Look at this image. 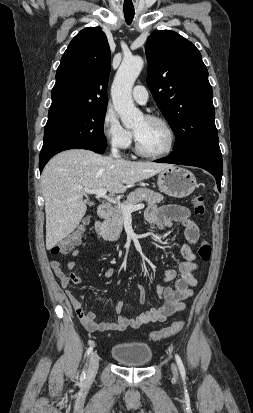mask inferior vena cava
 Segmentation results:
<instances>
[{"label": "inferior vena cava", "instance_id": "inferior-vena-cava-1", "mask_svg": "<svg viewBox=\"0 0 253 413\" xmlns=\"http://www.w3.org/2000/svg\"><path fill=\"white\" fill-rule=\"evenodd\" d=\"M111 153L114 158L116 159L120 158L119 150L117 148L116 143L112 144Z\"/></svg>", "mask_w": 253, "mask_h": 413}]
</instances>
